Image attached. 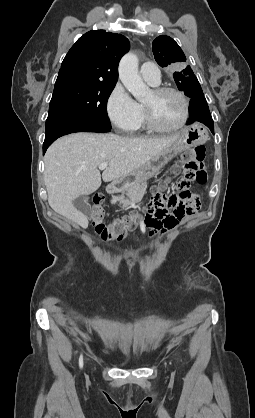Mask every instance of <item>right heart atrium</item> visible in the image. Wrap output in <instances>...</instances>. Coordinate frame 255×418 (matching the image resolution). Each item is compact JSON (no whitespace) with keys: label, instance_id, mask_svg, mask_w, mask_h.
I'll list each match as a JSON object with an SVG mask.
<instances>
[{"label":"right heart atrium","instance_id":"1","mask_svg":"<svg viewBox=\"0 0 255 418\" xmlns=\"http://www.w3.org/2000/svg\"><path fill=\"white\" fill-rule=\"evenodd\" d=\"M106 113L112 125L122 132L137 128L142 115V108L122 84L114 86L106 101Z\"/></svg>","mask_w":255,"mask_h":418}]
</instances>
